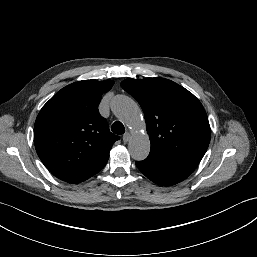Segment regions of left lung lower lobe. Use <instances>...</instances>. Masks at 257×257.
<instances>
[{"instance_id": "1", "label": "left lung lower lobe", "mask_w": 257, "mask_h": 257, "mask_svg": "<svg viewBox=\"0 0 257 257\" xmlns=\"http://www.w3.org/2000/svg\"><path fill=\"white\" fill-rule=\"evenodd\" d=\"M199 162L192 159L165 161L147 157L143 161H136V166L151 181L170 186L186 179Z\"/></svg>"}]
</instances>
